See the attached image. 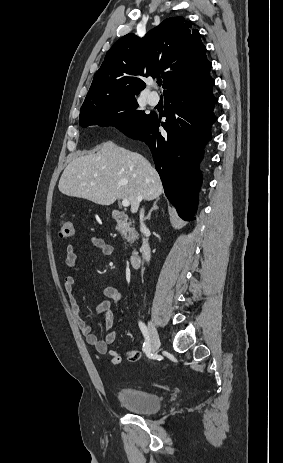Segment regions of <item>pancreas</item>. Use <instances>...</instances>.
Here are the masks:
<instances>
[{
    "mask_svg": "<svg viewBox=\"0 0 283 463\" xmlns=\"http://www.w3.org/2000/svg\"><path fill=\"white\" fill-rule=\"evenodd\" d=\"M117 230L122 234L123 238L128 239L127 233L130 232L132 229L129 228L128 225H124V226H118Z\"/></svg>",
    "mask_w": 283,
    "mask_h": 463,
    "instance_id": "obj_1",
    "label": "pancreas"
}]
</instances>
